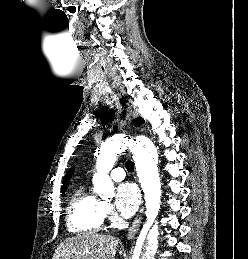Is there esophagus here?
<instances>
[{"instance_id": "34e87169", "label": "esophagus", "mask_w": 248, "mask_h": 259, "mask_svg": "<svg viewBox=\"0 0 248 259\" xmlns=\"http://www.w3.org/2000/svg\"><path fill=\"white\" fill-rule=\"evenodd\" d=\"M132 118H133V112H132L131 108L128 107L127 114H126V120L128 122H130ZM143 213H144V207L142 204L135 220L133 221L131 227L128 230V233H127L128 240L132 239L134 237V235L137 233V231L139 230V227L141 225L142 218H143Z\"/></svg>"}]
</instances>
